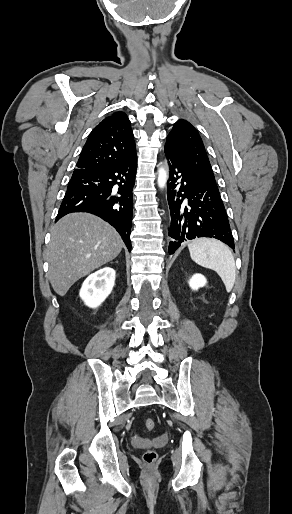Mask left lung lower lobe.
<instances>
[{
	"label": "left lung lower lobe",
	"instance_id": "0a47b994",
	"mask_svg": "<svg viewBox=\"0 0 292 514\" xmlns=\"http://www.w3.org/2000/svg\"><path fill=\"white\" fill-rule=\"evenodd\" d=\"M164 150L170 169L167 197L171 216L169 236L173 240L169 243V254H173L183 241L197 237L215 238L234 249L217 184L189 170L174 152Z\"/></svg>",
	"mask_w": 292,
	"mask_h": 514
}]
</instances>
